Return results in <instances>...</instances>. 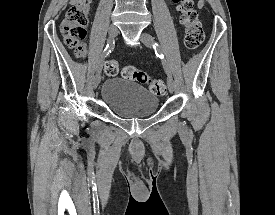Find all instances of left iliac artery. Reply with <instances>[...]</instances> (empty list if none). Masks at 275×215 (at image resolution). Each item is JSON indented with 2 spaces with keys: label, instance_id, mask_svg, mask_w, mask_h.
I'll return each mask as SVG.
<instances>
[{
  "label": "left iliac artery",
  "instance_id": "obj_1",
  "mask_svg": "<svg viewBox=\"0 0 275 215\" xmlns=\"http://www.w3.org/2000/svg\"><path fill=\"white\" fill-rule=\"evenodd\" d=\"M153 48H154V50H155L156 55H157L159 58L162 59V64H163V68H164L165 72L167 73L168 76H170L171 71H170V68H169V66H168V64H167V62H166V60L164 59V55H163V53H162L161 47L159 46L158 43L155 42L154 45H153Z\"/></svg>",
  "mask_w": 275,
  "mask_h": 215
}]
</instances>
